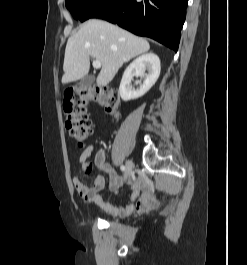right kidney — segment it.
Instances as JSON below:
<instances>
[{
    "label": "right kidney",
    "mask_w": 247,
    "mask_h": 265,
    "mask_svg": "<svg viewBox=\"0 0 247 265\" xmlns=\"http://www.w3.org/2000/svg\"><path fill=\"white\" fill-rule=\"evenodd\" d=\"M148 74H145V71ZM160 59L154 53H147L136 58L124 71L119 92L124 101L137 99L147 93L156 83L160 75ZM134 76L145 77L143 84L138 89H134L131 80Z\"/></svg>",
    "instance_id": "ca27d5eb"
}]
</instances>
